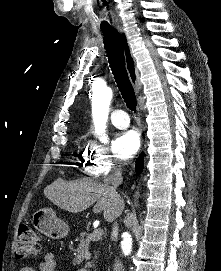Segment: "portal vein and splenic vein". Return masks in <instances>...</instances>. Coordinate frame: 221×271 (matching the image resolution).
<instances>
[{
    "label": "portal vein and splenic vein",
    "instance_id": "18ae733b",
    "mask_svg": "<svg viewBox=\"0 0 221 271\" xmlns=\"http://www.w3.org/2000/svg\"><path fill=\"white\" fill-rule=\"evenodd\" d=\"M102 230L101 229H96L95 231L91 232V237L89 238L90 242H97L98 238H100L102 235Z\"/></svg>",
    "mask_w": 221,
    "mask_h": 271
}]
</instances>
